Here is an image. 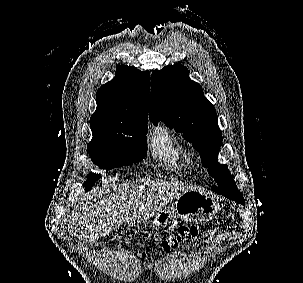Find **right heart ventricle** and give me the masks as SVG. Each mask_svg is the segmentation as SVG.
I'll list each match as a JSON object with an SVG mask.
<instances>
[{
  "mask_svg": "<svg viewBox=\"0 0 303 283\" xmlns=\"http://www.w3.org/2000/svg\"><path fill=\"white\" fill-rule=\"evenodd\" d=\"M151 149L156 158L175 169L185 165L184 149L165 126L156 128L151 135Z\"/></svg>",
  "mask_w": 303,
  "mask_h": 283,
  "instance_id": "right-heart-ventricle-1",
  "label": "right heart ventricle"
}]
</instances>
